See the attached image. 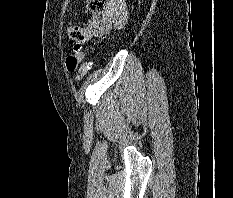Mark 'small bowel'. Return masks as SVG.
Returning <instances> with one entry per match:
<instances>
[{"mask_svg": "<svg viewBox=\"0 0 233 198\" xmlns=\"http://www.w3.org/2000/svg\"><path fill=\"white\" fill-rule=\"evenodd\" d=\"M127 21V11L124 0H109L105 11L92 30V35H103L112 28L120 29ZM79 61L84 58V53L76 48L74 53Z\"/></svg>", "mask_w": 233, "mask_h": 198, "instance_id": "c3829d8e", "label": "small bowel"}]
</instances>
